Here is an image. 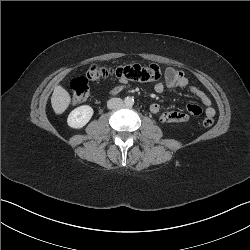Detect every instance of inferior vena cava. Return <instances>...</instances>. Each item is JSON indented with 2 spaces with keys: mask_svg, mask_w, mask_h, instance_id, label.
I'll return each mask as SVG.
<instances>
[{
  "mask_svg": "<svg viewBox=\"0 0 250 250\" xmlns=\"http://www.w3.org/2000/svg\"><path fill=\"white\" fill-rule=\"evenodd\" d=\"M123 100L120 98H111L108 102H107V107L109 109H117L123 106Z\"/></svg>",
  "mask_w": 250,
  "mask_h": 250,
  "instance_id": "obj_1",
  "label": "inferior vena cava"
}]
</instances>
